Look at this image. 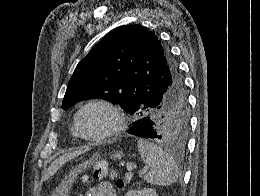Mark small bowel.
<instances>
[{
	"instance_id": "obj_1",
	"label": "small bowel",
	"mask_w": 260,
	"mask_h": 196,
	"mask_svg": "<svg viewBox=\"0 0 260 196\" xmlns=\"http://www.w3.org/2000/svg\"><path fill=\"white\" fill-rule=\"evenodd\" d=\"M85 196H117V193L110 182L103 181L89 188Z\"/></svg>"
}]
</instances>
